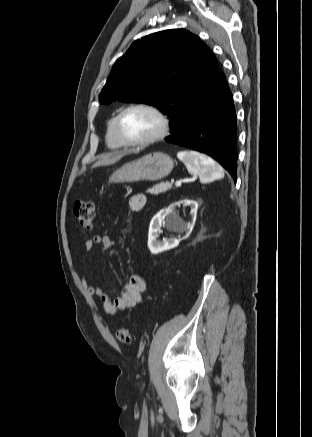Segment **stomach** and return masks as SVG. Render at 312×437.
I'll use <instances>...</instances> for the list:
<instances>
[{"mask_svg":"<svg viewBox=\"0 0 312 437\" xmlns=\"http://www.w3.org/2000/svg\"><path fill=\"white\" fill-rule=\"evenodd\" d=\"M173 167L174 162L170 156L154 152L124 164L111 174L109 182L155 181L169 175Z\"/></svg>","mask_w":312,"mask_h":437,"instance_id":"0dacf381","label":"stomach"}]
</instances>
